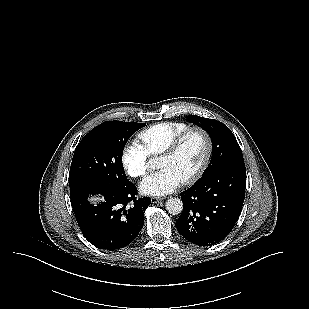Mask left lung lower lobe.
<instances>
[{
	"mask_svg": "<svg viewBox=\"0 0 309 309\" xmlns=\"http://www.w3.org/2000/svg\"><path fill=\"white\" fill-rule=\"evenodd\" d=\"M245 186L244 161L224 165L202 176L180 193L184 207L175 224L178 232L195 245L219 243L240 216Z\"/></svg>",
	"mask_w": 309,
	"mask_h": 309,
	"instance_id": "0a47b994",
	"label": "left lung lower lobe"
}]
</instances>
